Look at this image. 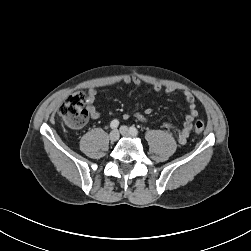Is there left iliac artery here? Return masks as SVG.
<instances>
[{
	"label": "left iliac artery",
	"mask_w": 251,
	"mask_h": 251,
	"mask_svg": "<svg viewBox=\"0 0 251 251\" xmlns=\"http://www.w3.org/2000/svg\"><path fill=\"white\" fill-rule=\"evenodd\" d=\"M130 131L135 135L138 134V130L134 126L130 127Z\"/></svg>",
	"instance_id": "1"
}]
</instances>
